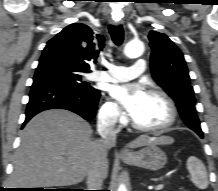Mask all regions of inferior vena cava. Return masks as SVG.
<instances>
[{
    "mask_svg": "<svg viewBox=\"0 0 218 191\" xmlns=\"http://www.w3.org/2000/svg\"><path fill=\"white\" fill-rule=\"evenodd\" d=\"M116 117L105 115L98 121V133L103 140V147L109 149L114 147L116 144V134L115 129ZM107 165L105 162V157L100 156L99 160L92 165L87 174V187L88 190H101L103 180L106 177Z\"/></svg>",
    "mask_w": 218,
    "mask_h": 191,
    "instance_id": "602c4592",
    "label": "inferior vena cava"
}]
</instances>
